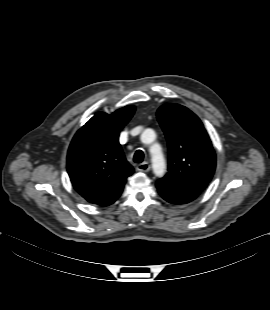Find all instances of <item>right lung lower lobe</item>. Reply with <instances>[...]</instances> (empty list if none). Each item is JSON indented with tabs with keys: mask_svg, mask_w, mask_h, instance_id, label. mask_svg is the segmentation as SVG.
I'll return each instance as SVG.
<instances>
[{
	"mask_svg": "<svg viewBox=\"0 0 270 310\" xmlns=\"http://www.w3.org/2000/svg\"><path fill=\"white\" fill-rule=\"evenodd\" d=\"M120 196V194L114 198H111L110 200H108L107 202H105L104 204H102V206H107L112 204L113 202H115L117 200V198Z\"/></svg>",
	"mask_w": 270,
	"mask_h": 310,
	"instance_id": "98d812e1",
	"label": "right lung lower lobe"
}]
</instances>
